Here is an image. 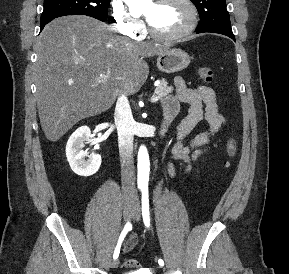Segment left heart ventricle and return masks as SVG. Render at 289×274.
<instances>
[{
  "label": "left heart ventricle",
  "instance_id": "obj_1",
  "mask_svg": "<svg viewBox=\"0 0 289 274\" xmlns=\"http://www.w3.org/2000/svg\"><path fill=\"white\" fill-rule=\"evenodd\" d=\"M150 25L159 33L173 34L181 31L189 22V10L181 0L150 3L143 11Z\"/></svg>",
  "mask_w": 289,
  "mask_h": 274
}]
</instances>
